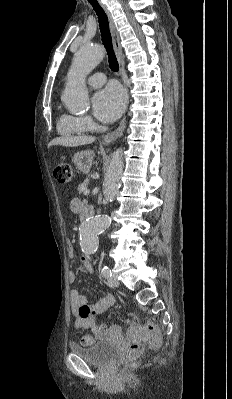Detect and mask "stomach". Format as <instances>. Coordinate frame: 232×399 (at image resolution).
<instances>
[{
	"mask_svg": "<svg viewBox=\"0 0 232 399\" xmlns=\"http://www.w3.org/2000/svg\"><path fill=\"white\" fill-rule=\"evenodd\" d=\"M93 156L92 152L89 150H85V152H77L75 156H73V164H75L76 168L83 172V174H88L90 172V168L92 166Z\"/></svg>",
	"mask_w": 232,
	"mask_h": 399,
	"instance_id": "stomach-1",
	"label": "stomach"
}]
</instances>
